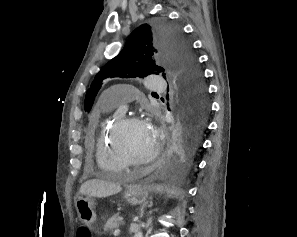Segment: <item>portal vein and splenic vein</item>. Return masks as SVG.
<instances>
[{
  "label": "portal vein and splenic vein",
  "mask_w": 297,
  "mask_h": 237,
  "mask_svg": "<svg viewBox=\"0 0 297 237\" xmlns=\"http://www.w3.org/2000/svg\"><path fill=\"white\" fill-rule=\"evenodd\" d=\"M119 233H120V229H116L113 234L114 236H117Z\"/></svg>",
  "instance_id": "obj_1"
}]
</instances>
